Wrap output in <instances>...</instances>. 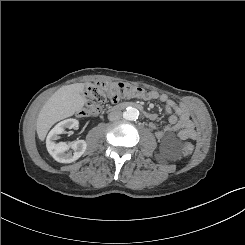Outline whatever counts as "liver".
Returning <instances> with one entry per match:
<instances>
[{
  "mask_svg": "<svg viewBox=\"0 0 245 245\" xmlns=\"http://www.w3.org/2000/svg\"><path fill=\"white\" fill-rule=\"evenodd\" d=\"M83 91L84 83H74L61 87L46 101L36 124L37 135L41 141L56 122L74 115L83 108Z\"/></svg>",
  "mask_w": 245,
  "mask_h": 245,
  "instance_id": "1",
  "label": "liver"
}]
</instances>
